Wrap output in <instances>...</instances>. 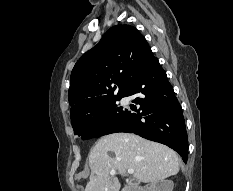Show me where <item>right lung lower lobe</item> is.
Listing matches in <instances>:
<instances>
[{
  "instance_id": "right-lung-lower-lobe-1",
  "label": "right lung lower lobe",
  "mask_w": 233,
  "mask_h": 191,
  "mask_svg": "<svg viewBox=\"0 0 233 191\" xmlns=\"http://www.w3.org/2000/svg\"><path fill=\"white\" fill-rule=\"evenodd\" d=\"M138 95L139 111H128L106 133L130 132L177 151L186 163L188 138L181 106L157 58L152 56L125 96Z\"/></svg>"
}]
</instances>
